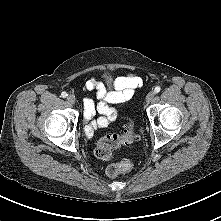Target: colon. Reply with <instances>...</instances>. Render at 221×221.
<instances>
[{
  "label": "colon",
  "instance_id": "5ec220e1",
  "mask_svg": "<svg viewBox=\"0 0 221 221\" xmlns=\"http://www.w3.org/2000/svg\"><path fill=\"white\" fill-rule=\"evenodd\" d=\"M136 137L134 122L128 120L121 133L106 135L98 141L95 155L102 160H109L112 157L113 149L133 143L136 140ZM132 167V160L125 158L118 163L110 164L106 168V174L109 178H116L121 174L130 171Z\"/></svg>",
  "mask_w": 221,
  "mask_h": 221
}]
</instances>
